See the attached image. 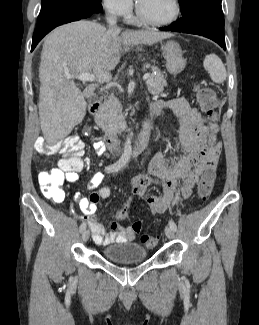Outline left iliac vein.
<instances>
[{
	"label": "left iliac vein",
	"mask_w": 259,
	"mask_h": 325,
	"mask_svg": "<svg viewBox=\"0 0 259 325\" xmlns=\"http://www.w3.org/2000/svg\"><path fill=\"white\" fill-rule=\"evenodd\" d=\"M165 235L167 236L168 239H173L174 238V230L170 226L165 227Z\"/></svg>",
	"instance_id": "obj_1"
}]
</instances>
